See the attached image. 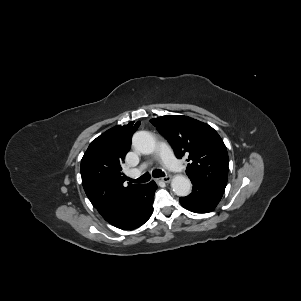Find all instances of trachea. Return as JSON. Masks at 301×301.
Instances as JSON below:
<instances>
[{"instance_id":"trachea-1","label":"trachea","mask_w":301,"mask_h":301,"mask_svg":"<svg viewBox=\"0 0 301 301\" xmlns=\"http://www.w3.org/2000/svg\"><path fill=\"white\" fill-rule=\"evenodd\" d=\"M152 176L155 178L164 177L165 173L161 170H153ZM150 178H151L150 174L145 173L137 179H128V180L132 183H145V182H148L150 180Z\"/></svg>"}]
</instances>
